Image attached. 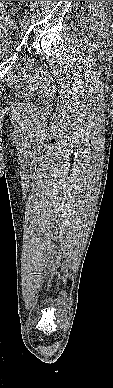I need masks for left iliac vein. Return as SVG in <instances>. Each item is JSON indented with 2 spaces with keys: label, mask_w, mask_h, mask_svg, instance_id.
<instances>
[{
  "label": "left iliac vein",
  "mask_w": 113,
  "mask_h": 388,
  "mask_svg": "<svg viewBox=\"0 0 113 388\" xmlns=\"http://www.w3.org/2000/svg\"><path fill=\"white\" fill-rule=\"evenodd\" d=\"M28 25H29V19L22 18L20 20V27H21V29H23V30L26 29L28 27Z\"/></svg>",
  "instance_id": "4c4485c4"
}]
</instances>
